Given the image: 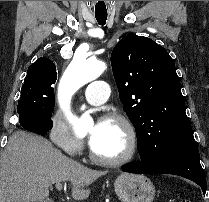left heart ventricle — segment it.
<instances>
[{"label": "left heart ventricle", "mask_w": 209, "mask_h": 202, "mask_svg": "<svg viewBox=\"0 0 209 202\" xmlns=\"http://www.w3.org/2000/svg\"><path fill=\"white\" fill-rule=\"evenodd\" d=\"M95 126L90 127V133ZM91 145L102 157L118 158L125 154L129 142L125 129L119 123L102 121L99 125L97 138Z\"/></svg>", "instance_id": "1"}]
</instances>
